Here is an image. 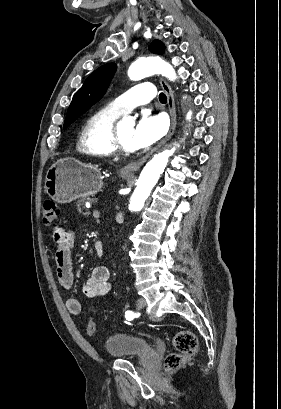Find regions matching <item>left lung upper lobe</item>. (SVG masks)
Instances as JSON below:
<instances>
[{
  "instance_id": "left-lung-upper-lobe-1",
  "label": "left lung upper lobe",
  "mask_w": 281,
  "mask_h": 409,
  "mask_svg": "<svg viewBox=\"0 0 281 409\" xmlns=\"http://www.w3.org/2000/svg\"><path fill=\"white\" fill-rule=\"evenodd\" d=\"M164 44L155 40L150 46L151 52L162 54ZM116 64L108 63L96 69L84 82L83 86L74 95L68 108L63 128H67L105 94L111 79L116 71Z\"/></svg>"
}]
</instances>
